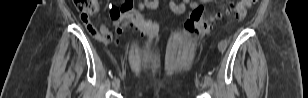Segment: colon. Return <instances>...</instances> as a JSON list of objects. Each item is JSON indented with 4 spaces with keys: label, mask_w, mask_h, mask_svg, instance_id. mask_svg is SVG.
<instances>
[{
    "label": "colon",
    "mask_w": 308,
    "mask_h": 98,
    "mask_svg": "<svg viewBox=\"0 0 308 98\" xmlns=\"http://www.w3.org/2000/svg\"><path fill=\"white\" fill-rule=\"evenodd\" d=\"M257 2V0H242L237 4H232L229 8V13L236 19H243L247 14L249 6ZM74 4L80 13L81 19L88 29L93 30L90 23V17L98 11V3L96 0H74ZM151 13V12H149ZM111 17H115L121 21V24L116 26V37L119 42V37L123 31H139L142 35L148 37L147 45L149 46L157 31V24H151V17L149 15H141L140 9H132V1L126 0L121 5L114 7L110 11ZM219 18L218 15L206 14L204 7H199L193 10L185 22V31L197 38L203 37L209 33L212 24ZM103 41H111L112 33L106 35H99L95 33Z\"/></svg>",
    "instance_id": "obj_1"
}]
</instances>
